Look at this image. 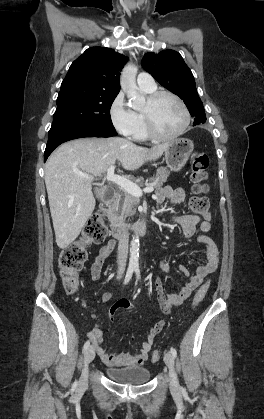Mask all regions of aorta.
Wrapping results in <instances>:
<instances>
[{
  "instance_id": "762f6f07",
  "label": "aorta",
  "mask_w": 264,
  "mask_h": 419,
  "mask_svg": "<svg viewBox=\"0 0 264 419\" xmlns=\"http://www.w3.org/2000/svg\"><path fill=\"white\" fill-rule=\"evenodd\" d=\"M137 67L133 64H127L120 77V85L127 97L130 98L133 109H138L145 103V98L138 93V87L136 84ZM139 237L137 234L133 236L130 246V259L129 266L132 268H138L139 266Z\"/></svg>"
}]
</instances>
